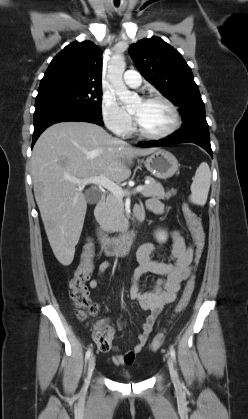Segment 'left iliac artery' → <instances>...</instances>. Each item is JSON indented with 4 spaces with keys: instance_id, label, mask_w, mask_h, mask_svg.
Listing matches in <instances>:
<instances>
[{
    "instance_id": "left-iliac-artery-1",
    "label": "left iliac artery",
    "mask_w": 248,
    "mask_h": 419,
    "mask_svg": "<svg viewBox=\"0 0 248 419\" xmlns=\"http://www.w3.org/2000/svg\"><path fill=\"white\" fill-rule=\"evenodd\" d=\"M170 354L172 359L175 361L176 360V353L173 347H170Z\"/></svg>"
}]
</instances>
